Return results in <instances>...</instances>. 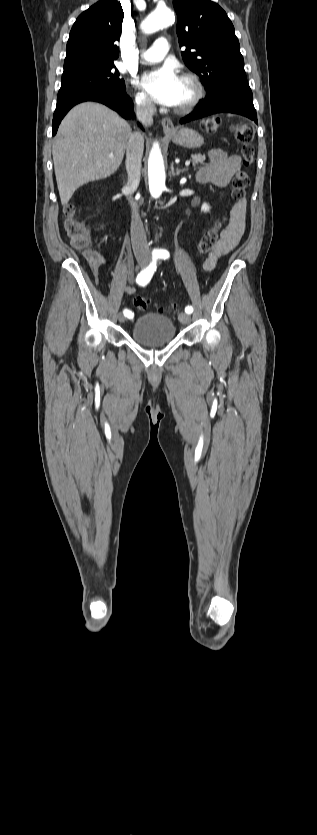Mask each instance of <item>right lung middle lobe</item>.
Here are the masks:
<instances>
[{
    "instance_id": "right-lung-middle-lobe-1",
    "label": "right lung middle lobe",
    "mask_w": 317,
    "mask_h": 835,
    "mask_svg": "<svg viewBox=\"0 0 317 835\" xmlns=\"http://www.w3.org/2000/svg\"><path fill=\"white\" fill-rule=\"evenodd\" d=\"M103 87L125 90V82L119 78V72L114 63L87 60L65 62L57 98L61 99L80 91Z\"/></svg>"
}]
</instances>
